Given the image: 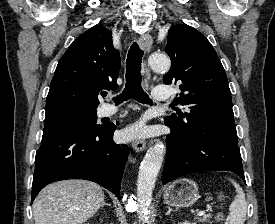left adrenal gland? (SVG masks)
<instances>
[{
    "label": "left adrenal gland",
    "mask_w": 275,
    "mask_h": 224,
    "mask_svg": "<svg viewBox=\"0 0 275 224\" xmlns=\"http://www.w3.org/2000/svg\"><path fill=\"white\" fill-rule=\"evenodd\" d=\"M175 210L171 209L170 207H168V211L166 213V215H169L171 212H174Z\"/></svg>",
    "instance_id": "1"
}]
</instances>
